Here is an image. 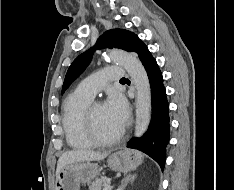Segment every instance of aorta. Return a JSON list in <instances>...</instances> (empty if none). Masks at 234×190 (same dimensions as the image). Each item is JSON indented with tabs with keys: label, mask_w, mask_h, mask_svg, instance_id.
Instances as JSON below:
<instances>
[{
	"label": "aorta",
	"mask_w": 234,
	"mask_h": 190,
	"mask_svg": "<svg viewBox=\"0 0 234 190\" xmlns=\"http://www.w3.org/2000/svg\"><path fill=\"white\" fill-rule=\"evenodd\" d=\"M106 58L121 65L130 75L136 88L135 136L146 131L151 119V89L147 73L135 54L123 50H111Z\"/></svg>",
	"instance_id": "obj_1"
}]
</instances>
